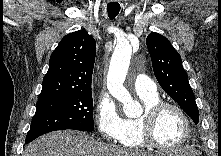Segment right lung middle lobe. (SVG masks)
Returning <instances> with one entry per match:
<instances>
[{
    "label": "right lung middle lobe",
    "mask_w": 221,
    "mask_h": 156,
    "mask_svg": "<svg viewBox=\"0 0 221 156\" xmlns=\"http://www.w3.org/2000/svg\"><path fill=\"white\" fill-rule=\"evenodd\" d=\"M59 129L94 130L91 90L39 98L25 142Z\"/></svg>",
    "instance_id": "1"
}]
</instances>
